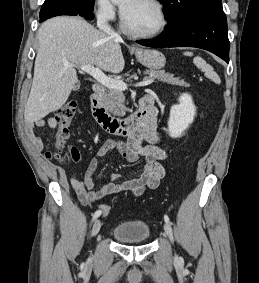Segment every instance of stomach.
<instances>
[{
  "instance_id": "1",
  "label": "stomach",
  "mask_w": 259,
  "mask_h": 283,
  "mask_svg": "<svg viewBox=\"0 0 259 283\" xmlns=\"http://www.w3.org/2000/svg\"><path fill=\"white\" fill-rule=\"evenodd\" d=\"M135 55L141 64L151 70H159L166 63L164 54L156 49H137Z\"/></svg>"
}]
</instances>
